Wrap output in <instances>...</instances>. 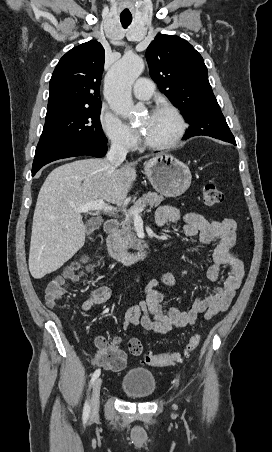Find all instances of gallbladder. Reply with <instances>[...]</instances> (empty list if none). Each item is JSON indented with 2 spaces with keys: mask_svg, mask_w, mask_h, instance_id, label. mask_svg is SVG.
<instances>
[{
  "mask_svg": "<svg viewBox=\"0 0 272 452\" xmlns=\"http://www.w3.org/2000/svg\"><path fill=\"white\" fill-rule=\"evenodd\" d=\"M101 225V222L99 220L93 219L90 222H88L86 224V233L87 234H91L93 233L96 229H98Z\"/></svg>",
  "mask_w": 272,
  "mask_h": 452,
  "instance_id": "obj_1",
  "label": "gallbladder"
}]
</instances>
